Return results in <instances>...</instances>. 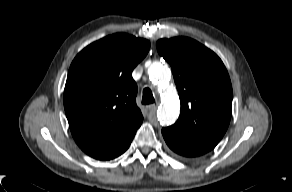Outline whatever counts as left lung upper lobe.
Instances as JSON below:
<instances>
[{"label": "left lung upper lobe", "instance_id": "left-lung-upper-lobe-1", "mask_svg": "<svg viewBox=\"0 0 292 192\" xmlns=\"http://www.w3.org/2000/svg\"><path fill=\"white\" fill-rule=\"evenodd\" d=\"M156 46L172 67L182 104L177 122L168 128L218 143L232 112V86L223 62L213 51L186 37L161 39Z\"/></svg>", "mask_w": 292, "mask_h": 192}]
</instances>
